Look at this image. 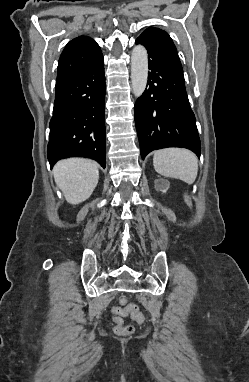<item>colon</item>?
Returning <instances> with one entry per match:
<instances>
[{
    "label": "colon",
    "mask_w": 249,
    "mask_h": 382,
    "mask_svg": "<svg viewBox=\"0 0 249 382\" xmlns=\"http://www.w3.org/2000/svg\"><path fill=\"white\" fill-rule=\"evenodd\" d=\"M120 303L122 307H115L112 310L116 323L115 332L120 335L131 334L133 332V327L131 325H124L121 317L130 314L131 318L137 323H143L145 321V317L140 312L138 306L128 303L127 299L122 298Z\"/></svg>",
    "instance_id": "5ec220e1"
}]
</instances>
